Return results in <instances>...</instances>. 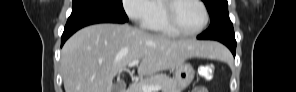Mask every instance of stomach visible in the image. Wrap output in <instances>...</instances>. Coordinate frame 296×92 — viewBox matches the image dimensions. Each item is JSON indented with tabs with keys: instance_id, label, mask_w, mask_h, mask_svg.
Masks as SVG:
<instances>
[{
	"instance_id": "1",
	"label": "stomach",
	"mask_w": 296,
	"mask_h": 92,
	"mask_svg": "<svg viewBox=\"0 0 296 92\" xmlns=\"http://www.w3.org/2000/svg\"><path fill=\"white\" fill-rule=\"evenodd\" d=\"M195 75L194 68L189 63H182L176 68L175 81L178 87L184 89L193 80Z\"/></svg>"
}]
</instances>
